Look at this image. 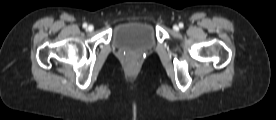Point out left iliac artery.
I'll use <instances>...</instances> for the list:
<instances>
[{"mask_svg":"<svg viewBox=\"0 0 276 120\" xmlns=\"http://www.w3.org/2000/svg\"><path fill=\"white\" fill-rule=\"evenodd\" d=\"M179 27H180V28H183V27H184V24H183V23H179Z\"/></svg>","mask_w":276,"mask_h":120,"instance_id":"1","label":"left iliac artery"}]
</instances>
